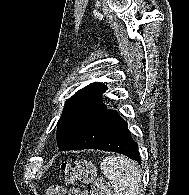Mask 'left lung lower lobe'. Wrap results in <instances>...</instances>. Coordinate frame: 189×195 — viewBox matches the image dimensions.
Wrapping results in <instances>:
<instances>
[{"mask_svg":"<svg viewBox=\"0 0 189 195\" xmlns=\"http://www.w3.org/2000/svg\"><path fill=\"white\" fill-rule=\"evenodd\" d=\"M60 151L98 149L124 154L141 163L137 143L131 138L127 123L116 111L103 106L81 125L63 144Z\"/></svg>","mask_w":189,"mask_h":195,"instance_id":"0a47b994","label":"left lung lower lobe"}]
</instances>
